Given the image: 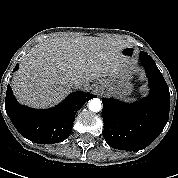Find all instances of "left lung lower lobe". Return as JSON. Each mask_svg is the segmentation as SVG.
<instances>
[{"label": "left lung lower lobe", "mask_w": 178, "mask_h": 178, "mask_svg": "<svg viewBox=\"0 0 178 178\" xmlns=\"http://www.w3.org/2000/svg\"><path fill=\"white\" fill-rule=\"evenodd\" d=\"M140 60L149 79L150 94L133 104L102 99L104 138L115 149L136 151L146 148L164 129L170 109V93L162 73L146 52Z\"/></svg>", "instance_id": "obj_1"}]
</instances>
